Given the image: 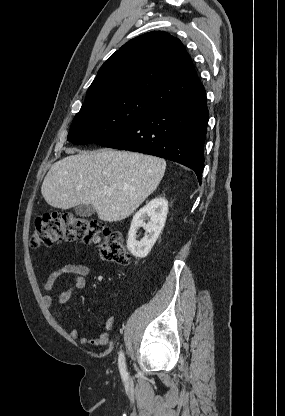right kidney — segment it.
<instances>
[{"mask_svg":"<svg viewBox=\"0 0 285 416\" xmlns=\"http://www.w3.org/2000/svg\"><path fill=\"white\" fill-rule=\"evenodd\" d=\"M168 202L165 198H154L139 212H136L128 232L127 248L135 258H146L151 252L157 238H159L166 222ZM150 218L145 224L144 220ZM144 228L148 232L140 242L136 240L137 230Z\"/></svg>","mask_w":285,"mask_h":416,"instance_id":"ca27d5eb","label":"right kidney"}]
</instances>
